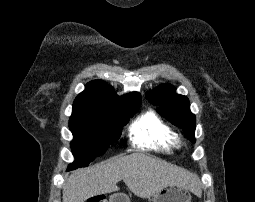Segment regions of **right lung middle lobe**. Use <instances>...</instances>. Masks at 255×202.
Masks as SVG:
<instances>
[{"label":"right lung middle lobe","instance_id":"right-lung-middle-lobe-1","mask_svg":"<svg viewBox=\"0 0 255 202\" xmlns=\"http://www.w3.org/2000/svg\"><path fill=\"white\" fill-rule=\"evenodd\" d=\"M140 104L104 115L78 116L69 120L74 139L71 149L75 161L68 170L88 166L96 157L101 156L121 135V127L126 125Z\"/></svg>","mask_w":255,"mask_h":202}]
</instances>
